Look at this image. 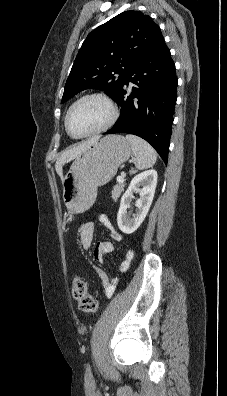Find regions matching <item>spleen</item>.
<instances>
[{"label": "spleen", "mask_w": 227, "mask_h": 396, "mask_svg": "<svg viewBox=\"0 0 227 396\" xmlns=\"http://www.w3.org/2000/svg\"><path fill=\"white\" fill-rule=\"evenodd\" d=\"M126 139L131 145L137 169L143 170L155 164L157 154L150 144L135 135H126Z\"/></svg>", "instance_id": "3e777b00"}]
</instances>
